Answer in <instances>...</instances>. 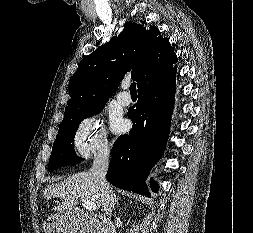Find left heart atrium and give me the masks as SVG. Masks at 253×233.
I'll return each instance as SVG.
<instances>
[{
    "instance_id": "obj_1",
    "label": "left heart atrium",
    "mask_w": 253,
    "mask_h": 233,
    "mask_svg": "<svg viewBox=\"0 0 253 233\" xmlns=\"http://www.w3.org/2000/svg\"><path fill=\"white\" fill-rule=\"evenodd\" d=\"M112 127L116 132H124L127 129V123L122 119H114Z\"/></svg>"
}]
</instances>
